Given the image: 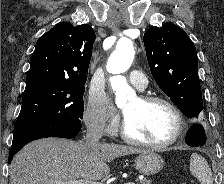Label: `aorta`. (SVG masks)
I'll return each instance as SVG.
<instances>
[{"instance_id": "aorta-1", "label": "aorta", "mask_w": 224, "mask_h": 184, "mask_svg": "<svg viewBox=\"0 0 224 184\" xmlns=\"http://www.w3.org/2000/svg\"><path fill=\"white\" fill-rule=\"evenodd\" d=\"M134 55L133 42L128 38H123L117 43L116 49L110 55L106 65L107 71L114 74L110 78V82L115 91L118 106L125 104L127 99L135 96V92L128 85L126 78L121 75L130 68Z\"/></svg>"}]
</instances>
